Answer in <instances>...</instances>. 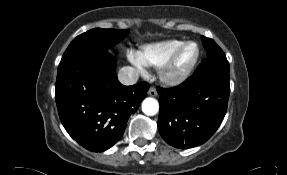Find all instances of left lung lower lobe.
<instances>
[{"label":"left lung lower lobe","mask_w":287,"mask_h":175,"mask_svg":"<svg viewBox=\"0 0 287 175\" xmlns=\"http://www.w3.org/2000/svg\"><path fill=\"white\" fill-rule=\"evenodd\" d=\"M160 94L158 130L171 146L187 149L206 142L222 123L230 93L229 77L192 76Z\"/></svg>","instance_id":"0a47b994"}]
</instances>
